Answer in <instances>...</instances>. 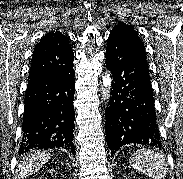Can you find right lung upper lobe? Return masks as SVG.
Listing matches in <instances>:
<instances>
[{
    "instance_id": "right-lung-upper-lobe-1",
    "label": "right lung upper lobe",
    "mask_w": 183,
    "mask_h": 179,
    "mask_svg": "<svg viewBox=\"0 0 183 179\" xmlns=\"http://www.w3.org/2000/svg\"><path fill=\"white\" fill-rule=\"evenodd\" d=\"M74 53L69 38L59 31L47 33L34 48L29 79L65 76L74 72Z\"/></svg>"
}]
</instances>
